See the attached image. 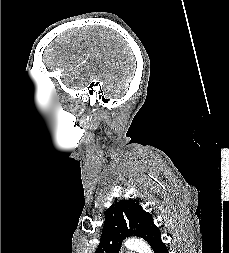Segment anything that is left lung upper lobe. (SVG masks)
Instances as JSON below:
<instances>
[{
	"mask_svg": "<svg viewBox=\"0 0 229 253\" xmlns=\"http://www.w3.org/2000/svg\"><path fill=\"white\" fill-rule=\"evenodd\" d=\"M138 236L152 249L161 240V233L152 215L143 210L138 200H121L105 212L100 243L95 253H118L123 239Z\"/></svg>",
	"mask_w": 229,
	"mask_h": 253,
	"instance_id": "1",
	"label": "left lung upper lobe"
}]
</instances>
